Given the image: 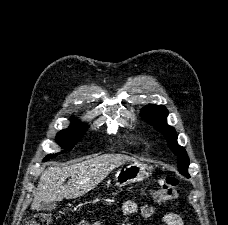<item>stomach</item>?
<instances>
[{
	"instance_id": "1",
	"label": "stomach",
	"mask_w": 228,
	"mask_h": 225,
	"mask_svg": "<svg viewBox=\"0 0 228 225\" xmlns=\"http://www.w3.org/2000/svg\"><path fill=\"white\" fill-rule=\"evenodd\" d=\"M151 167L141 161H131L115 173L116 187H126L132 183H141L151 175Z\"/></svg>"
}]
</instances>
